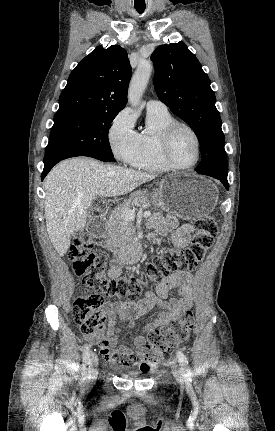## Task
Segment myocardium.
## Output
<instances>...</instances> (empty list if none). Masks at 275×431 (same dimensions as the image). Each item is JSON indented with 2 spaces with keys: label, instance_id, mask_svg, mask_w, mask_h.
<instances>
[{
  "label": "myocardium",
  "instance_id": "1",
  "mask_svg": "<svg viewBox=\"0 0 275 431\" xmlns=\"http://www.w3.org/2000/svg\"><path fill=\"white\" fill-rule=\"evenodd\" d=\"M185 129L187 130L194 138L195 145H196V157L195 160L188 164V165H181L178 164L172 157L171 154V147H172V141L177 133L178 130ZM201 141L199 138V135L195 131V129L190 126L189 124L183 123V122H177L170 124L168 127L165 128V130L162 132L160 137V154L162 156V159L165 161L166 164H168L171 168L177 169V170H187L192 167H194L201 158Z\"/></svg>",
  "mask_w": 275,
  "mask_h": 431
}]
</instances>
